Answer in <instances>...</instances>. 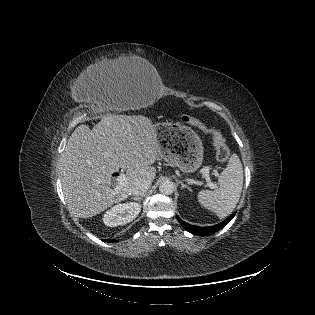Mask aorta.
<instances>
[{
  "instance_id": "1",
  "label": "aorta",
  "mask_w": 315,
  "mask_h": 315,
  "mask_svg": "<svg viewBox=\"0 0 315 315\" xmlns=\"http://www.w3.org/2000/svg\"><path fill=\"white\" fill-rule=\"evenodd\" d=\"M159 191L165 195H171L174 191V184L171 181H164L159 186Z\"/></svg>"
}]
</instances>
